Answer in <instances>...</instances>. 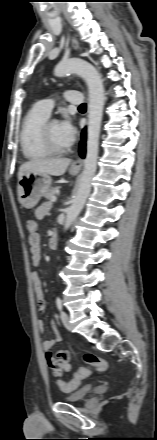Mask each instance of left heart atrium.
Segmentation results:
<instances>
[{"label":"left heart atrium","mask_w":157,"mask_h":440,"mask_svg":"<svg viewBox=\"0 0 157 440\" xmlns=\"http://www.w3.org/2000/svg\"><path fill=\"white\" fill-rule=\"evenodd\" d=\"M60 133L68 145H71L76 138V129L70 119H64L59 123Z\"/></svg>","instance_id":"obj_1"}]
</instances>
